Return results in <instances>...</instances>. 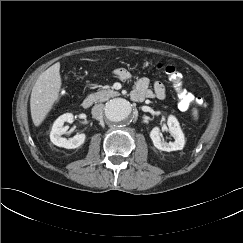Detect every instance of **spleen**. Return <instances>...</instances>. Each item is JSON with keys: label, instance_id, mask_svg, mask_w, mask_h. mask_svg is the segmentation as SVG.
<instances>
[{"label": "spleen", "instance_id": "spleen-1", "mask_svg": "<svg viewBox=\"0 0 243 243\" xmlns=\"http://www.w3.org/2000/svg\"><path fill=\"white\" fill-rule=\"evenodd\" d=\"M193 116H194L195 119H197L198 112L195 108L193 109Z\"/></svg>", "mask_w": 243, "mask_h": 243}]
</instances>
